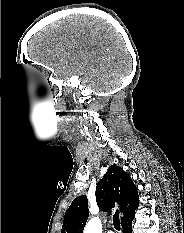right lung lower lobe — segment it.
<instances>
[{
	"instance_id": "1",
	"label": "right lung lower lobe",
	"mask_w": 184,
	"mask_h": 233,
	"mask_svg": "<svg viewBox=\"0 0 184 233\" xmlns=\"http://www.w3.org/2000/svg\"><path fill=\"white\" fill-rule=\"evenodd\" d=\"M133 218H134V216H132L130 219H128L122 223L123 233H131V226H132V219Z\"/></svg>"
}]
</instances>
